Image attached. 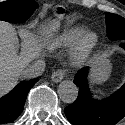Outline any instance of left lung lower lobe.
<instances>
[{
  "label": "left lung lower lobe",
  "mask_w": 125,
  "mask_h": 125,
  "mask_svg": "<svg viewBox=\"0 0 125 125\" xmlns=\"http://www.w3.org/2000/svg\"><path fill=\"white\" fill-rule=\"evenodd\" d=\"M120 46L125 49V43ZM88 70L76 74L78 97L65 108V115L73 125H115L125 117V84L109 98L96 100L89 91Z\"/></svg>",
  "instance_id": "1"
}]
</instances>
